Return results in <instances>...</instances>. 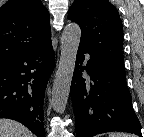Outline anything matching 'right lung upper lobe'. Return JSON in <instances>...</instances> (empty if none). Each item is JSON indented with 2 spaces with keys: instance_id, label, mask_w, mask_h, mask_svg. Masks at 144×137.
Returning a JSON list of instances; mask_svg holds the SVG:
<instances>
[{
  "instance_id": "1",
  "label": "right lung upper lobe",
  "mask_w": 144,
  "mask_h": 137,
  "mask_svg": "<svg viewBox=\"0 0 144 137\" xmlns=\"http://www.w3.org/2000/svg\"><path fill=\"white\" fill-rule=\"evenodd\" d=\"M49 39V13L40 0H9L0 8V66Z\"/></svg>"
}]
</instances>
